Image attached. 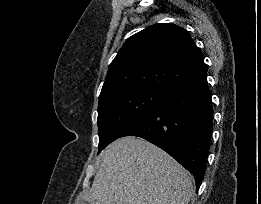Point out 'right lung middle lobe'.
I'll return each mask as SVG.
<instances>
[{
    "label": "right lung middle lobe",
    "mask_w": 261,
    "mask_h": 204,
    "mask_svg": "<svg viewBox=\"0 0 261 204\" xmlns=\"http://www.w3.org/2000/svg\"><path fill=\"white\" fill-rule=\"evenodd\" d=\"M164 95L165 92L155 90H122L100 99L97 119L98 154L151 111Z\"/></svg>",
    "instance_id": "obj_1"
}]
</instances>
